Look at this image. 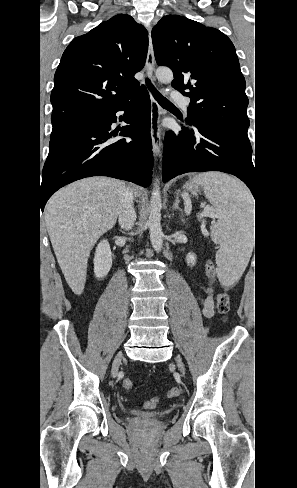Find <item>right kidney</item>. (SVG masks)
Masks as SVG:
<instances>
[{
	"mask_svg": "<svg viewBox=\"0 0 297 488\" xmlns=\"http://www.w3.org/2000/svg\"><path fill=\"white\" fill-rule=\"evenodd\" d=\"M112 266V252L107 240H102L96 247L94 256V274L96 278H104Z\"/></svg>",
	"mask_w": 297,
	"mask_h": 488,
	"instance_id": "right-kidney-1",
	"label": "right kidney"
}]
</instances>
